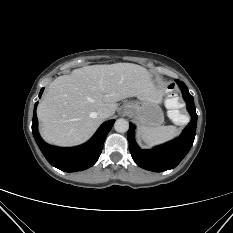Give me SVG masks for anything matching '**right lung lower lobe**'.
<instances>
[{"label":"right lung lower lobe","mask_w":233,"mask_h":233,"mask_svg":"<svg viewBox=\"0 0 233 233\" xmlns=\"http://www.w3.org/2000/svg\"><path fill=\"white\" fill-rule=\"evenodd\" d=\"M43 90L44 88L41 89L39 97H41ZM37 104L38 102H36L34 107L32 132L36 143L47 161L52 166L65 172L81 171L93 166L101 154L104 140L115 120L103 123L92 139L81 146L71 148L54 147L46 144L38 133Z\"/></svg>","instance_id":"obj_1"}]
</instances>
